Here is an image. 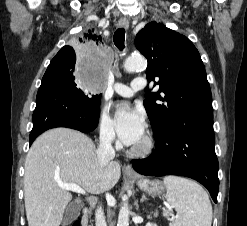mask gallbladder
I'll use <instances>...</instances> for the list:
<instances>
[{
  "mask_svg": "<svg viewBox=\"0 0 247 226\" xmlns=\"http://www.w3.org/2000/svg\"><path fill=\"white\" fill-rule=\"evenodd\" d=\"M83 207L82 203L78 201H72L70 202L64 211L63 218H62V224L63 226H66L73 222L79 215L81 208Z\"/></svg>",
  "mask_w": 247,
  "mask_h": 226,
  "instance_id": "1",
  "label": "gallbladder"
}]
</instances>
